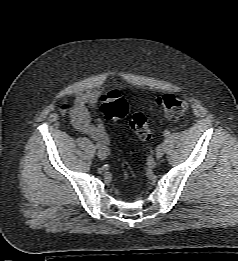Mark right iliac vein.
Instances as JSON below:
<instances>
[{"label":"right iliac vein","instance_id":"63e3f726","mask_svg":"<svg viewBox=\"0 0 238 261\" xmlns=\"http://www.w3.org/2000/svg\"><path fill=\"white\" fill-rule=\"evenodd\" d=\"M97 156H98V158H100L101 160H104V159H106V157H107V153H106L105 150L99 149V150L97 151Z\"/></svg>","mask_w":238,"mask_h":261}]
</instances>
